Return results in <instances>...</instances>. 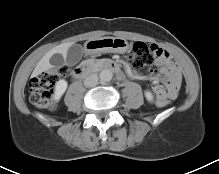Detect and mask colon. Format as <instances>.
Returning a JSON list of instances; mask_svg holds the SVG:
<instances>
[{
  "label": "colon",
  "mask_w": 219,
  "mask_h": 174,
  "mask_svg": "<svg viewBox=\"0 0 219 174\" xmlns=\"http://www.w3.org/2000/svg\"><path fill=\"white\" fill-rule=\"evenodd\" d=\"M128 61L134 67L142 68L154 63L155 54L145 43L136 42L128 55ZM67 72V67L61 66L33 77L29 82L31 103L40 109H54L56 102L53 98V87L67 75ZM155 102L160 108L166 107L169 103L167 99L159 97H156Z\"/></svg>",
  "instance_id": "colon-1"
}]
</instances>
